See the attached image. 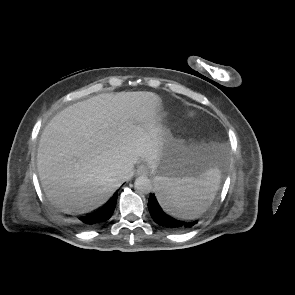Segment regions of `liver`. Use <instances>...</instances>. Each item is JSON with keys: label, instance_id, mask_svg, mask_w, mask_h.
<instances>
[{"label": "liver", "instance_id": "obj_1", "mask_svg": "<svg viewBox=\"0 0 295 295\" xmlns=\"http://www.w3.org/2000/svg\"><path fill=\"white\" fill-rule=\"evenodd\" d=\"M161 102L146 91L103 93L55 115L37 153L48 200L67 212H88L110 198L135 164L155 168L170 132Z\"/></svg>", "mask_w": 295, "mask_h": 295}]
</instances>
